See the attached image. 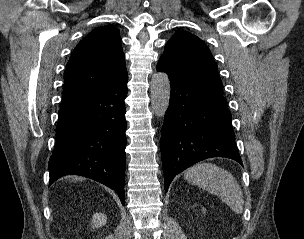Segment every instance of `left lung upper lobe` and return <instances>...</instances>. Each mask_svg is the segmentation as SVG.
I'll return each instance as SVG.
<instances>
[{
    "mask_svg": "<svg viewBox=\"0 0 304 239\" xmlns=\"http://www.w3.org/2000/svg\"><path fill=\"white\" fill-rule=\"evenodd\" d=\"M159 61L205 88L222 94L218 67L207 45L197 36L177 31L166 43Z\"/></svg>",
    "mask_w": 304,
    "mask_h": 239,
    "instance_id": "1",
    "label": "left lung upper lobe"
}]
</instances>
